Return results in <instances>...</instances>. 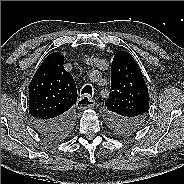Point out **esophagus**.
Here are the masks:
<instances>
[{
  "instance_id": "1",
  "label": "esophagus",
  "mask_w": 184,
  "mask_h": 184,
  "mask_svg": "<svg viewBox=\"0 0 184 184\" xmlns=\"http://www.w3.org/2000/svg\"><path fill=\"white\" fill-rule=\"evenodd\" d=\"M95 104V100L90 98L88 95L81 96L77 101V107L80 109L91 108L94 107Z\"/></svg>"
}]
</instances>
